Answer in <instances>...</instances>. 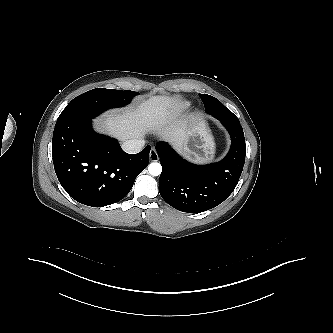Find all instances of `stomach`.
<instances>
[{"instance_id": "0dacf381", "label": "stomach", "mask_w": 333, "mask_h": 333, "mask_svg": "<svg viewBox=\"0 0 333 333\" xmlns=\"http://www.w3.org/2000/svg\"><path fill=\"white\" fill-rule=\"evenodd\" d=\"M182 152L199 162L213 159L215 144L206 123L202 119L194 120L186 133Z\"/></svg>"}]
</instances>
